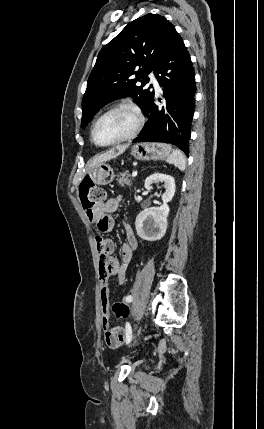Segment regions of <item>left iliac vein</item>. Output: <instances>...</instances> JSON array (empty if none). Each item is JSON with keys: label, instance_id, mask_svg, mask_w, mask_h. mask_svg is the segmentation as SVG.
Instances as JSON below:
<instances>
[{"label": "left iliac vein", "instance_id": "1", "mask_svg": "<svg viewBox=\"0 0 264 429\" xmlns=\"http://www.w3.org/2000/svg\"><path fill=\"white\" fill-rule=\"evenodd\" d=\"M144 329V326L141 324L139 327H136V334H135V338L133 339L135 342L138 340L137 338L139 337V335L142 334V331Z\"/></svg>", "mask_w": 264, "mask_h": 429}]
</instances>
